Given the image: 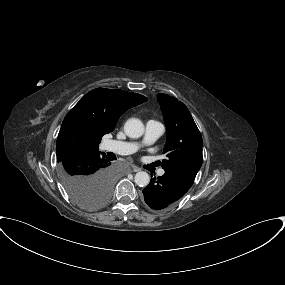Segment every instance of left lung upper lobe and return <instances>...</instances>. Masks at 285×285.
<instances>
[{"label":"left lung upper lobe","instance_id":"5c2ea615","mask_svg":"<svg viewBox=\"0 0 285 285\" xmlns=\"http://www.w3.org/2000/svg\"><path fill=\"white\" fill-rule=\"evenodd\" d=\"M158 101L167 128L162 168L190 188L202 165L201 134L182 102L163 93L158 94Z\"/></svg>","mask_w":285,"mask_h":285}]
</instances>
